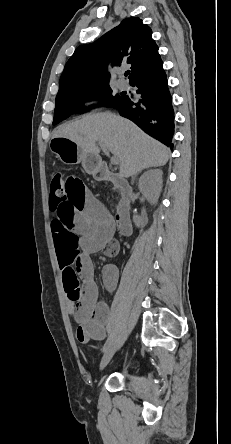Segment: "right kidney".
Here are the masks:
<instances>
[{
  "instance_id": "1",
  "label": "right kidney",
  "mask_w": 231,
  "mask_h": 444,
  "mask_svg": "<svg viewBox=\"0 0 231 444\" xmlns=\"http://www.w3.org/2000/svg\"><path fill=\"white\" fill-rule=\"evenodd\" d=\"M162 171L159 169L150 170L144 173L138 183V188L143 196L152 204H157L162 189ZM133 221L137 227L143 228L146 221L141 217L133 216Z\"/></svg>"
}]
</instances>
